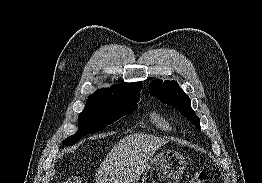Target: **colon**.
Here are the masks:
<instances>
[{
  "label": "colon",
  "instance_id": "colon-1",
  "mask_svg": "<svg viewBox=\"0 0 262 183\" xmlns=\"http://www.w3.org/2000/svg\"><path fill=\"white\" fill-rule=\"evenodd\" d=\"M208 179H209V173L204 170L195 171L188 175L189 183H206ZM62 183H86V182L79 176H72L67 178Z\"/></svg>",
  "mask_w": 262,
  "mask_h": 183
}]
</instances>
